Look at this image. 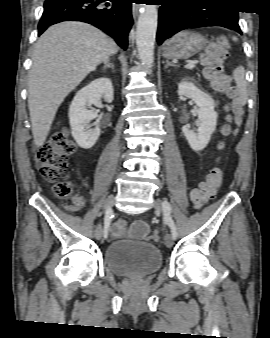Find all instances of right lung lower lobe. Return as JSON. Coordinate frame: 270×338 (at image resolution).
Here are the masks:
<instances>
[{"label":"right lung lower lobe","instance_id":"98d812e1","mask_svg":"<svg viewBox=\"0 0 270 338\" xmlns=\"http://www.w3.org/2000/svg\"><path fill=\"white\" fill-rule=\"evenodd\" d=\"M133 0H45L38 28L41 35L48 26L61 21H82L92 24L127 48V35L132 26Z\"/></svg>","mask_w":270,"mask_h":338}]
</instances>
